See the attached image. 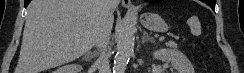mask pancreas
I'll return each mask as SVG.
<instances>
[{"label":"pancreas","mask_w":244,"mask_h":73,"mask_svg":"<svg viewBox=\"0 0 244 73\" xmlns=\"http://www.w3.org/2000/svg\"><path fill=\"white\" fill-rule=\"evenodd\" d=\"M167 46L172 47V48H177V44L175 42H173V41H169L167 43Z\"/></svg>","instance_id":"1"}]
</instances>
